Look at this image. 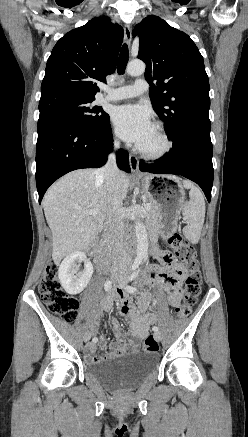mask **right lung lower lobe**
<instances>
[{
	"instance_id": "right-lung-lower-lobe-1",
	"label": "right lung lower lobe",
	"mask_w": 248,
	"mask_h": 437,
	"mask_svg": "<svg viewBox=\"0 0 248 437\" xmlns=\"http://www.w3.org/2000/svg\"><path fill=\"white\" fill-rule=\"evenodd\" d=\"M110 122L88 128L73 120L50 115L39 117L36 145V184L39 203L48 187L59 177L79 168H98L112 151ZM118 167L130 173L128 153L117 152Z\"/></svg>"
}]
</instances>
